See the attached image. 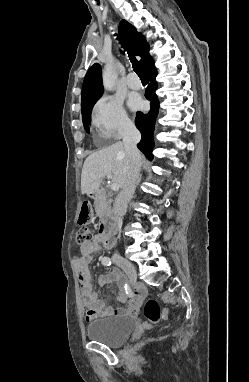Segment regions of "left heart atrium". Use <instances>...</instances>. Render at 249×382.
Returning <instances> with one entry per match:
<instances>
[{
  "label": "left heart atrium",
  "instance_id": "obj_1",
  "mask_svg": "<svg viewBox=\"0 0 249 382\" xmlns=\"http://www.w3.org/2000/svg\"><path fill=\"white\" fill-rule=\"evenodd\" d=\"M140 105H141V102H140V100L137 99V98H134V99H132V100L130 101V106H131L132 108H138V107H140Z\"/></svg>",
  "mask_w": 249,
  "mask_h": 382
}]
</instances>
